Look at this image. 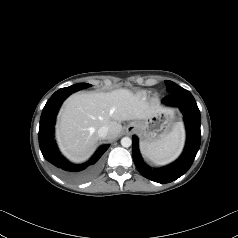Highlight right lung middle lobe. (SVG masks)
I'll list each match as a JSON object with an SVG mask.
<instances>
[{
	"instance_id": "right-lung-middle-lobe-1",
	"label": "right lung middle lobe",
	"mask_w": 238,
	"mask_h": 238,
	"mask_svg": "<svg viewBox=\"0 0 238 238\" xmlns=\"http://www.w3.org/2000/svg\"><path fill=\"white\" fill-rule=\"evenodd\" d=\"M75 85H77L80 89L88 88V87L92 86V85H90L88 83H78V84H75Z\"/></svg>"
}]
</instances>
